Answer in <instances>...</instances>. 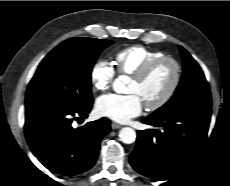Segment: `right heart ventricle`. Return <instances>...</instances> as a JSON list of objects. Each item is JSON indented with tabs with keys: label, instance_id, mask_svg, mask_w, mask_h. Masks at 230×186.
Segmentation results:
<instances>
[{
	"label": "right heart ventricle",
	"instance_id": "obj_1",
	"mask_svg": "<svg viewBox=\"0 0 230 186\" xmlns=\"http://www.w3.org/2000/svg\"><path fill=\"white\" fill-rule=\"evenodd\" d=\"M161 51L141 45H133L119 50L114 55V65L121 74L132 76L148 62L162 57Z\"/></svg>",
	"mask_w": 230,
	"mask_h": 186
}]
</instances>
